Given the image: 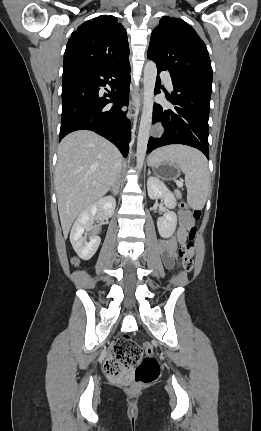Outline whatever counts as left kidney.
I'll use <instances>...</instances> for the list:
<instances>
[{
  "label": "left kidney",
  "mask_w": 261,
  "mask_h": 431,
  "mask_svg": "<svg viewBox=\"0 0 261 431\" xmlns=\"http://www.w3.org/2000/svg\"><path fill=\"white\" fill-rule=\"evenodd\" d=\"M148 196L152 199H163L165 206L173 209L176 206L174 195L168 190L165 184L154 178L149 177L147 180ZM177 226V216L174 212L168 211L164 216L157 220V227L161 237L169 238L173 235Z\"/></svg>",
  "instance_id": "left-kidney-1"
}]
</instances>
